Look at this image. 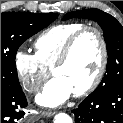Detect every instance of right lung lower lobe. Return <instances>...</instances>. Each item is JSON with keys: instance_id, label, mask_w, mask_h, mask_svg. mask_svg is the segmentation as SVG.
<instances>
[{"instance_id": "right-lung-lower-lobe-1", "label": "right lung lower lobe", "mask_w": 123, "mask_h": 123, "mask_svg": "<svg viewBox=\"0 0 123 123\" xmlns=\"http://www.w3.org/2000/svg\"><path fill=\"white\" fill-rule=\"evenodd\" d=\"M27 99L22 88H1V123H21Z\"/></svg>"}]
</instances>
